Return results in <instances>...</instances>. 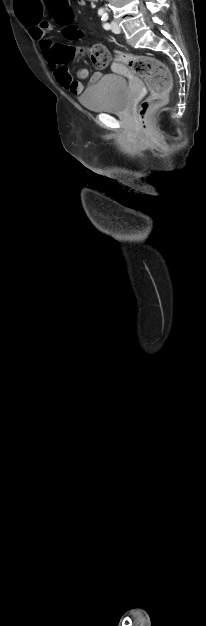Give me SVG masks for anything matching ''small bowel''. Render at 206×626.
I'll use <instances>...</instances> for the list:
<instances>
[{"label": "small bowel", "instance_id": "c3829d8e", "mask_svg": "<svg viewBox=\"0 0 206 626\" xmlns=\"http://www.w3.org/2000/svg\"><path fill=\"white\" fill-rule=\"evenodd\" d=\"M77 4L79 6H84L85 0H77ZM27 26L30 27V36L39 43V46L46 61L54 68V76L58 84L74 95L81 94L86 87V85L81 80H84L88 77V69L86 67H80L77 71L78 80H74L70 75L67 67L56 60V46L52 43L50 39L46 37V33L51 29L50 23L46 21H39L34 24H28ZM100 77V72L94 73L91 76L88 84L91 85L97 82Z\"/></svg>", "mask_w": 206, "mask_h": 626}]
</instances>
